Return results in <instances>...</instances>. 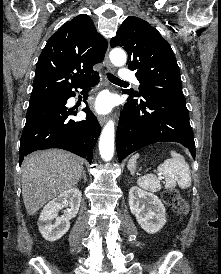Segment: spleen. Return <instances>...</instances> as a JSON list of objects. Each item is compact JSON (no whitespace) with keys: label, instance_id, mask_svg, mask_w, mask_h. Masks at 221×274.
Instances as JSON below:
<instances>
[{"label":"spleen","instance_id":"1","mask_svg":"<svg viewBox=\"0 0 221 274\" xmlns=\"http://www.w3.org/2000/svg\"><path fill=\"white\" fill-rule=\"evenodd\" d=\"M171 159L165 160L157 167L159 175L165 177V188H174L176 184L180 188L186 189L191 186V173L188 163L184 157L175 151H171ZM139 154L133 155L128 161V169L134 174L135 164ZM137 184L150 192L160 191L159 179L153 174H147L137 180Z\"/></svg>","mask_w":221,"mask_h":274}]
</instances>
